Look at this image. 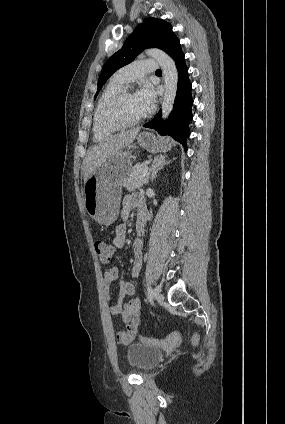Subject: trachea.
Wrapping results in <instances>:
<instances>
[{
    "mask_svg": "<svg viewBox=\"0 0 285 424\" xmlns=\"http://www.w3.org/2000/svg\"><path fill=\"white\" fill-rule=\"evenodd\" d=\"M156 73H161V70L160 69L156 70Z\"/></svg>",
    "mask_w": 285,
    "mask_h": 424,
    "instance_id": "1",
    "label": "trachea"
}]
</instances>
